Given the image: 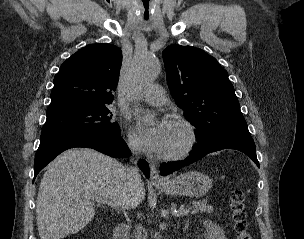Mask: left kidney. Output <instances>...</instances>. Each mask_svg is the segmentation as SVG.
<instances>
[{
	"mask_svg": "<svg viewBox=\"0 0 304 239\" xmlns=\"http://www.w3.org/2000/svg\"><path fill=\"white\" fill-rule=\"evenodd\" d=\"M203 224L207 229L208 239H227L224 230L211 220H205Z\"/></svg>",
	"mask_w": 304,
	"mask_h": 239,
	"instance_id": "left-kidney-1",
	"label": "left kidney"
}]
</instances>
